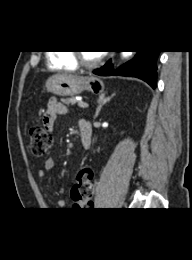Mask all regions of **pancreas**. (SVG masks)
Segmentation results:
<instances>
[{
  "instance_id": "obj_1",
  "label": "pancreas",
  "mask_w": 192,
  "mask_h": 260,
  "mask_svg": "<svg viewBox=\"0 0 192 260\" xmlns=\"http://www.w3.org/2000/svg\"><path fill=\"white\" fill-rule=\"evenodd\" d=\"M62 102L67 105H74L77 102V100L72 97V98L62 99Z\"/></svg>"
}]
</instances>
